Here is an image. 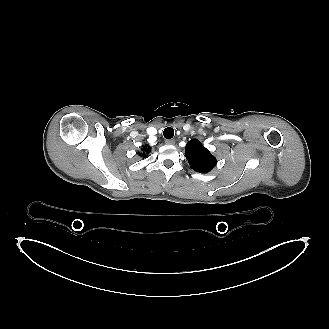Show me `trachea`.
<instances>
[{"label": "trachea", "instance_id": "trachea-1", "mask_svg": "<svg viewBox=\"0 0 329 329\" xmlns=\"http://www.w3.org/2000/svg\"><path fill=\"white\" fill-rule=\"evenodd\" d=\"M163 135L166 139H171L174 136V130L171 127L165 128Z\"/></svg>", "mask_w": 329, "mask_h": 329}]
</instances>
